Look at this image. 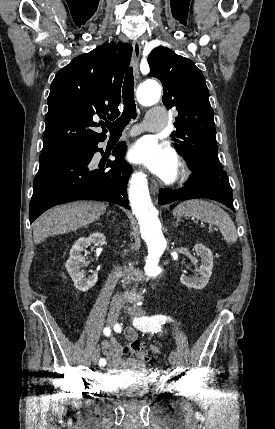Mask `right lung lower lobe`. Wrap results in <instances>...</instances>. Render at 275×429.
<instances>
[{
    "label": "right lung lower lobe",
    "mask_w": 275,
    "mask_h": 429,
    "mask_svg": "<svg viewBox=\"0 0 275 429\" xmlns=\"http://www.w3.org/2000/svg\"><path fill=\"white\" fill-rule=\"evenodd\" d=\"M100 141L88 144L85 149L41 162L29 205L30 223L47 209L75 200H104L130 209L127 182L132 168L119 160L126 150L124 142L119 143L112 152L115 161L109 160L95 167L93 155L103 152L97 147ZM105 165L111 169L105 170Z\"/></svg>",
    "instance_id": "1"
}]
</instances>
